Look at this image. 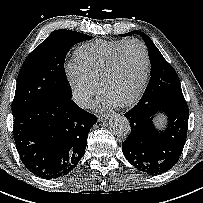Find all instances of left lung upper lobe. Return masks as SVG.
Wrapping results in <instances>:
<instances>
[{
	"label": "left lung upper lobe",
	"mask_w": 203,
	"mask_h": 203,
	"mask_svg": "<svg viewBox=\"0 0 203 203\" xmlns=\"http://www.w3.org/2000/svg\"><path fill=\"white\" fill-rule=\"evenodd\" d=\"M140 35L148 47L151 61V78L138 103L184 99L181 84L174 68L165 60L152 40L141 31H132L123 36Z\"/></svg>",
	"instance_id": "1"
}]
</instances>
